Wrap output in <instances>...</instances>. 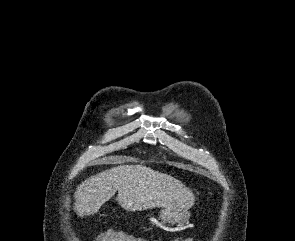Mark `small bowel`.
<instances>
[{
    "label": "small bowel",
    "mask_w": 295,
    "mask_h": 241,
    "mask_svg": "<svg viewBox=\"0 0 295 241\" xmlns=\"http://www.w3.org/2000/svg\"><path fill=\"white\" fill-rule=\"evenodd\" d=\"M128 241H145V240H143V239H141V238H137V237H132V236H130L129 238H128ZM185 241H192L191 239H187V240H185Z\"/></svg>",
    "instance_id": "small-bowel-1"
}]
</instances>
